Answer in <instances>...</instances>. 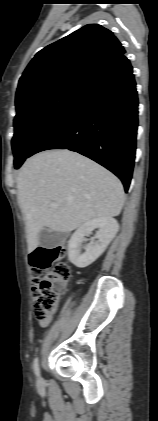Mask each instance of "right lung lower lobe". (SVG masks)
Returning <instances> with one entry per match:
<instances>
[{"mask_svg":"<svg viewBox=\"0 0 158 421\" xmlns=\"http://www.w3.org/2000/svg\"><path fill=\"white\" fill-rule=\"evenodd\" d=\"M138 98L132 66L123 55L95 74L30 156L69 149L113 172L128 191L134 167ZM29 156V157H30Z\"/></svg>","mask_w":158,"mask_h":421,"instance_id":"right-lung-lower-lobe-1","label":"right lung lower lobe"}]
</instances>
